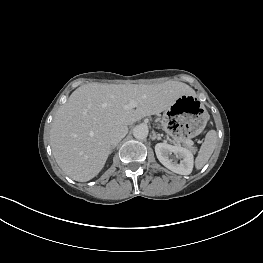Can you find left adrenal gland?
Segmentation results:
<instances>
[{
  "mask_svg": "<svg viewBox=\"0 0 263 263\" xmlns=\"http://www.w3.org/2000/svg\"><path fill=\"white\" fill-rule=\"evenodd\" d=\"M152 140H155V139H157V140H161V137L158 135V134H156V132L155 131H152Z\"/></svg>",
  "mask_w": 263,
  "mask_h": 263,
  "instance_id": "obj_1",
  "label": "left adrenal gland"
}]
</instances>
